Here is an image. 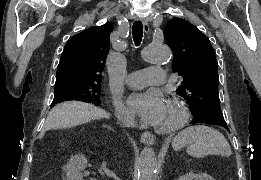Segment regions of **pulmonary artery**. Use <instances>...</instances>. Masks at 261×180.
I'll return each instance as SVG.
<instances>
[{
  "label": "pulmonary artery",
  "mask_w": 261,
  "mask_h": 180,
  "mask_svg": "<svg viewBox=\"0 0 261 180\" xmlns=\"http://www.w3.org/2000/svg\"><path fill=\"white\" fill-rule=\"evenodd\" d=\"M164 69H143L129 73L126 78V84L135 88H146L149 82L167 83V78H164Z\"/></svg>",
  "instance_id": "pulmonary-artery-1"
}]
</instances>
